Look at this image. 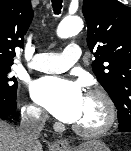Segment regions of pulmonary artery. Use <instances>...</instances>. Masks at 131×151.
I'll return each instance as SVG.
<instances>
[{"instance_id": "1", "label": "pulmonary artery", "mask_w": 131, "mask_h": 151, "mask_svg": "<svg viewBox=\"0 0 131 151\" xmlns=\"http://www.w3.org/2000/svg\"><path fill=\"white\" fill-rule=\"evenodd\" d=\"M81 56V47L70 43L62 53L45 52L36 54L30 67L46 73H61L73 66Z\"/></svg>"}]
</instances>
